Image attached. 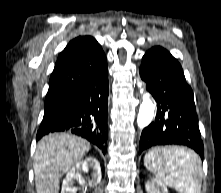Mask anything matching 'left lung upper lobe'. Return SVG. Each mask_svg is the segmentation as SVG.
<instances>
[{"instance_id": "1", "label": "left lung upper lobe", "mask_w": 221, "mask_h": 193, "mask_svg": "<svg viewBox=\"0 0 221 193\" xmlns=\"http://www.w3.org/2000/svg\"><path fill=\"white\" fill-rule=\"evenodd\" d=\"M169 117H170V118H167V120H168V119L170 120L169 125H170V126H175V122H176L175 114L171 112V113L169 114Z\"/></svg>"}]
</instances>
